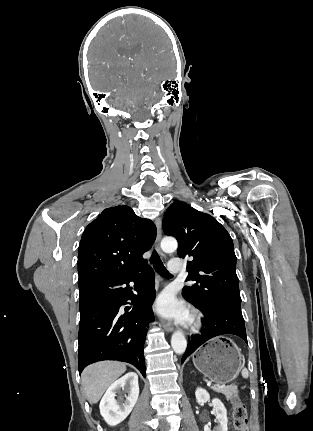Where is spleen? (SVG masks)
Returning <instances> with one entry per match:
<instances>
[{"instance_id": "1", "label": "spleen", "mask_w": 313, "mask_h": 431, "mask_svg": "<svg viewBox=\"0 0 313 431\" xmlns=\"http://www.w3.org/2000/svg\"><path fill=\"white\" fill-rule=\"evenodd\" d=\"M241 374L244 378H248V376H249L248 370L246 368L242 369Z\"/></svg>"}]
</instances>
